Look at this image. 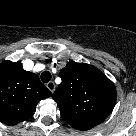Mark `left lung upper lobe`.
Here are the masks:
<instances>
[{"mask_svg": "<svg viewBox=\"0 0 136 136\" xmlns=\"http://www.w3.org/2000/svg\"><path fill=\"white\" fill-rule=\"evenodd\" d=\"M60 77L62 83L53 93V99L73 128L89 130L112 112L116 88L99 69L71 61L60 71Z\"/></svg>", "mask_w": 136, "mask_h": 136, "instance_id": "5c2ea615", "label": "left lung upper lobe"}]
</instances>
